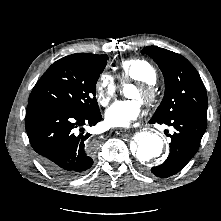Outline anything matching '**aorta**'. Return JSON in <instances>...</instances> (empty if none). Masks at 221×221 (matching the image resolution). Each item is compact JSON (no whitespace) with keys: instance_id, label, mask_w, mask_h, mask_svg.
Listing matches in <instances>:
<instances>
[{"instance_id":"obj_1","label":"aorta","mask_w":221,"mask_h":221,"mask_svg":"<svg viewBox=\"0 0 221 221\" xmlns=\"http://www.w3.org/2000/svg\"><path fill=\"white\" fill-rule=\"evenodd\" d=\"M134 140L135 148L132 153L135 159L143 165L159 157L163 152L164 141L156 133L140 132L136 134Z\"/></svg>"}]
</instances>
